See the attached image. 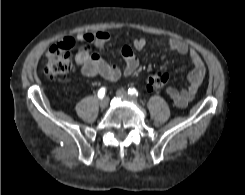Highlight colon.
I'll return each instance as SVG.
<instances>
[{
    "instance_id": "colon-1",
    "label": "colon",
    "mask_w": 245,
    "mask_h": 195,
    "mask_svg": "<svg viewBox=\"0 0 245 195\" xmlns=\"http://www.w3.org/2000/svg\"><path fill=\"white\" fill-rule=\"evenodd\" d=\"M74 40L67 38L53 45L49 51V59L45 68L51 79H63L73 67L72 48ZM169 79L166 73H152L147 79L146 88L150 92L160 91Z\"/></svg>"
}]
</instances>
